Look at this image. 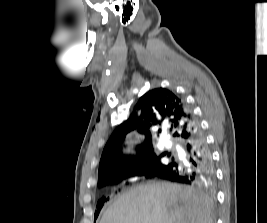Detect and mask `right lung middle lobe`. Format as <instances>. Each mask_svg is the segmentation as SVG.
Masks as SVG:
<instances>
[{"label": "right lung middle lobe", "mask_w": 267, "mask_h": 223, "mask_svg": "<svg viewBox=\"0 0 267 223\" xmlns=\"http://www.w3.org/2000/svg\"><path fill=\"white\" fill-rule=\"evenodd\" d=\"M171 157V153H162L161 155H156L155 152L147 156H142L134 161L130 166L131 171H126L123 167H116L110 169L101 178H99V186L108 185L113 183L118 178H126L128 176H146L151 177L157 175L162 169L167 165L173 163L174 157L171 158L169 163H163L161 161L162 157ZM107 201L106 198H102L97 204V212H95V218L98 216L100 209L103 204Z\"/></svg>", "instance_id": "right-lung-middle-lobe-1"}]
</instances>
